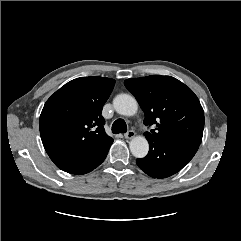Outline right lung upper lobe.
<instances>
[{"mask_svg":"<svg viewBox=\"0 0 241 241\" xmlns=\"http://www.w3.org/2000/svg\"><path fill=\"white\" fill-rule=\"evenodd\" d=\"M114 85L111 78H77L47 100L39 128L44 148L55 164L88 154L112 139L105 133L101 112Z\"/></svg>","mask_w":241,"mask_h":241,"instance_id":"right-lung-upper-lobe-1","label":"right lung upper lobe"}]
</instances>
